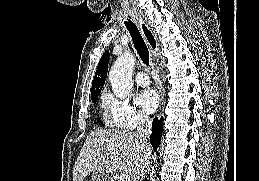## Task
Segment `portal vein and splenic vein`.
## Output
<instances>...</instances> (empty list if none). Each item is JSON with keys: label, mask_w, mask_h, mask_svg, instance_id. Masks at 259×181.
Listing matches in <instances>:
<instances>
[{"label": "portal vein and splenic vein", "mask_w": 259, "mask_h": 181, "mask_svg": "<svg viewBox=\"0 0 259 181\" xmlns=\"http://www.w3.org/2000/svg\"><path fill=\"white\" fill-rule=\"evenodd\" d=\"M119 181H131L130 176L128 174H121Z\"/></svg>", "instance_id": "18ae733b"}]
</instances>
